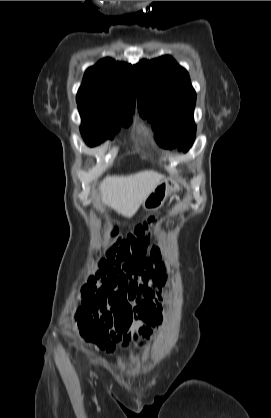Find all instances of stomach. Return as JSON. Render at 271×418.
I'll return each instance as SVG.
<instances>
[{
	"label": "stomach",
	"instance_id": "0dacf381",
	"mask_svg": "<svg viewBox=\"0 0 271 418\" xmlns=\"http://www.w3.org/2000/svg\"><path fill=\"white\" fill-rule=\"evenodd\" d=\"M179 184L173 180L163 179L157 187L148 195L142 203L146 211H157L160 209L167 197L174 191L179 190Z\"/></svg>",
	"mask_w": 271,
	"mask_h": 418
}]
</instances>
